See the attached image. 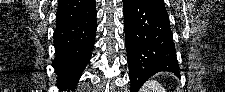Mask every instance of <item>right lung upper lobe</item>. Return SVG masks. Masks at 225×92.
Segmentation results:
<instances>
[{
  "label": "right lung upper lobe",
  "instance_id": "right-lung-upper-lobe-1",
  "mask_svg": "<svg viewBox=\"0 0 225 92\" xmlns=\"http://www.w3.org/2000/svg\"><path fill=\"white\" fill-rule=\"evenodd\" d=\"M95 10V0H59L56 25L78 20Z\"/></svg>",
  "mask_w": 225,
  "mask_h": 92
}]
</instances>
